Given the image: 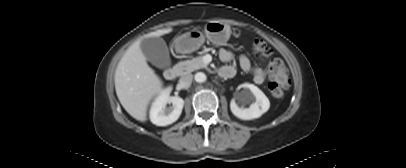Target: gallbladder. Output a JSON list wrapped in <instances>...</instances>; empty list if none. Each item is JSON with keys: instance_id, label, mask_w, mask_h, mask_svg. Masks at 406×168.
Segmentation results:
<instances>
[{"instance_id": "obj_1", "label": "gallbladder", "mask_w": 406, "mask_h": 168, "mask_svg": "<svg viewBox=\"0 0 406 168\" xmlns=\"http://www.w3.org/2000/svg\"><path fill=\"white\" fill-rule=\"evenodd\" d=\"M140 47L147 60L155 67L166 69L171 65L168 47L162 38H145Z\"/></svg>"}]
</instances>
